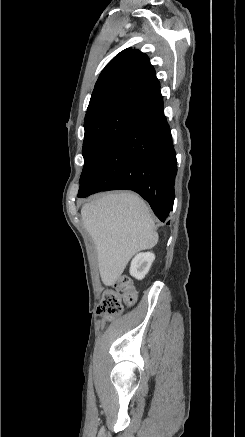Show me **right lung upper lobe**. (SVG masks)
Instances as JSON below:
<instances>
[{"mask_svg": "<svg viewBox=\"0 0 245 437\" xmlns=\"http://www.w3.org/2000/svg\"><path fill=\"white\" fill-rule=\"evenodd\" d=\"M107 103H126L141 110L163 103L160 84L146 54L127 48L101 72L87 112Z\"/></svg>", "mask_w": 245, "mask_h": 437, "instance_id": "obj_1", "label": "right lung upper lobe"}]
</instances>
